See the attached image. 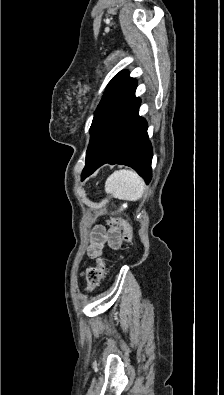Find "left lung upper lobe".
Segmentation results:
<instances>
[{
	"instance_id": "1",
	"label": "left lung upper lobe",
	"mask_w": 224,
	"mask_h": 395,
	"mask_svg": "<svg viewBox=\"0 0 224 395\" xmlns=\"http://www.w3.org/2000/svg\"><path fill=\"white\" fill-rule=\"evenodd\" d=\"M135 79L130 78L127 71H122L118 73L108 84L107 89L96 109L94 119L96 114L114 97H116L123 89H125L131 82ZM93 119V121H94ZM93 123V122H92Z\"/></svg>"
}]
</instances>
